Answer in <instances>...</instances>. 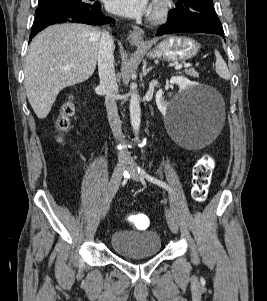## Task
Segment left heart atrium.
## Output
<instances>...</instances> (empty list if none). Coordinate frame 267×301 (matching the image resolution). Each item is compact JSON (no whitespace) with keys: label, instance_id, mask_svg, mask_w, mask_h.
<instances>
[{"label":"left heart atrium","instance_id":"left-heart-atrium-1","mask_svg":"<svg viewBox=\"0 0 267 301\" xmlns=\"http://www.w3.org/2000/svg\"><path fill=\"white\" fill-rule=\"evenodd\" d=\"M110 12L128 18H138L150 10L149 0H107Z\"/></svg>","mask_w":267,"mask_h":301}]
</instances>
